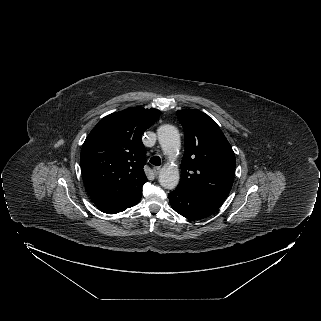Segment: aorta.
<instances>
[{"instance_id": "obj_1", "label": "aorta", "mask_w": 321, "mask_h": 321, "mask_svg": "<svg viewBox=\"0 0 321 321\" xmlns=\"http://www.w3.org/2000/svg\"><path fill=\"white\" fill-rule=\"evenodd\" d=\"M158 141L164 154L170 159L175 157L180 149V135L173 125L165 124L157 130ZM180 174L177 167L166 164L159 173V183L165 189H174L179 183Z\"/></svg>"}]
</instances>
